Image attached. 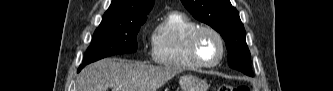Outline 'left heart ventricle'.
I'll use <instances>...</instances> for the list:
<instances>
[{
  "mask_svg": "<svg viewBox=\"0 0 333 91\" xmlns=\"http://www.w3.org/2000/svg\"><path fill=\"white\" fill-rule=\"evenodd\" d=\"M198 53L205 62L216 61L220 54V45L216 37L211 33H203L198 42Z\"/></svg>",
  "mask_w": 333,
  "mask_h": 91,
  "instance_id": "b2bd125f",
  "label": "left heart ventricle"
}]
</instances>
